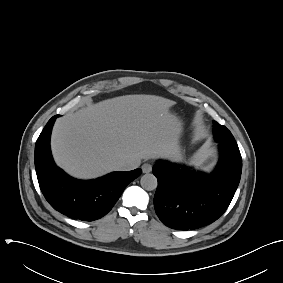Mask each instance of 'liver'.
<instances>
[{
	"label": "liver",
	"mask_w": 283,
	"mask_h": 283,
	"mask_svg": "<svg viewBox=\"0 0 283 283\" xmlns=\"http://www.w3.org/2000/svg\"><path fill=\"white\" fill-rule=\"evenodd\" d=\"M175 102L154 95H126L90 104L59 118L51 148L61 168L77 178L115 171L120 160L170 158L178 152Z\"/></svg>",
	"instance_id": "6515ba94"
}]
</instances>
